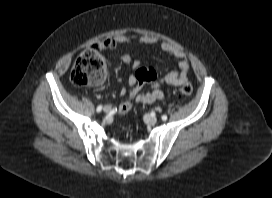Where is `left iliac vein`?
Masks as SVG:
<instances>
[{"label":"left iliac vein","instance_id":"1","mask_svg":"<svg viewBox=\"0 0 272 198\" xmlns=\"http://www.w3.org/2000/svg\"><path fill=\"white\" fill-rule=\"evenodd\" d=\"M145 120L148 124H156L157 123V118L155 116L152 115H146L145 116Z\"/></svg>","mask_w":272,"mask_h":198}]
</instances>
